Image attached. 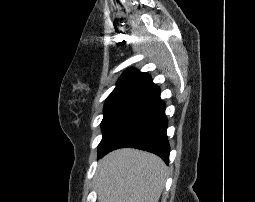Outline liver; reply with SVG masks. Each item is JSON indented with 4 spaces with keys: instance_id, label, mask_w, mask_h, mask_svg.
<instances>
[{
    "instance_id": "obj_1",
    "label": "liver",
    "mask_w": 255,
    "mask_h": 202,
    "mask_svg": "<svg viewBox=\"0 0 255 202\" xmlns=\"http://www.w3.org/2000/svg\"><path fill=\"white\" fill-rule=\"evenodd\" d=\"M98 202H158L167 166L158 156L137 149H118L98 164Z\"/></svg>"
}]
</instances>
